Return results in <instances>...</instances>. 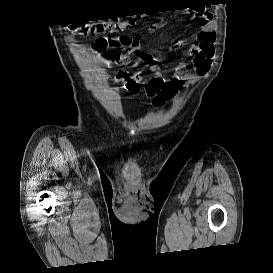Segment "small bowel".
<instances>
[{"instance_id": "1", "label": "small bowel", "mask_w": 273, "mask_h": 273, "mask_svg": "<svg viewBox=\"0 0 273 273\" xmlns=\"http://www.w3.org/2000/svg\"><path fill=\"white\" fill-rule=\"evenodd\" d=\"M199 31L194 34L195 41L185 39L177 40L173 46L175 50L185 49L190 57L194 70L188 71L185 63L178 64L168 75H163L156 71L155 57L141 51L132 44L133 39L129 36L122 37H100L92 44V50L97 54L101 62L129 65L135 58L136 61H143L152 67L154 72L148 79L140 70L132 72L119 70L115 75V81L121 82L130 96H137L142 92L155 107L164 105L171 100L179 91L195 83L205 76L213 62L215 53L214 42L216 40L215 24L212 16L208 13L197 15ZM163 26L158 22L149 26L150 31H154ZM132 47L126 53L125 50Z\"/></svg>"}]
</instances>
